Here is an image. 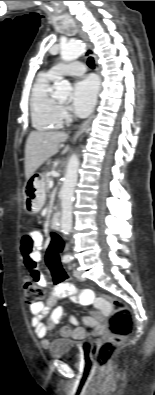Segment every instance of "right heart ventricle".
<instances>
[{
    "instance_id": "e07e8e85",
    "label": "right heart ventricle",
    "mask_w": 155,
    "mask_h": 395,
    "mask_svg": "<svg viewBox=\"0 0 155 395\" xmlns=\"http://www.w3.org/2000/svg\"><path fill=\"white\" fill-rule=\"evenodd\" d=\"M56 80L49 72L41 73L32 87L30 115L37 130H54L62 126L60 106L52 95V85Z\"/></svg>"
}]
</instances>
